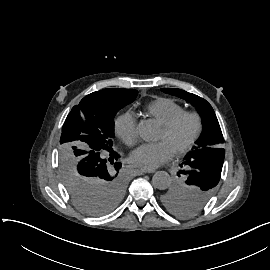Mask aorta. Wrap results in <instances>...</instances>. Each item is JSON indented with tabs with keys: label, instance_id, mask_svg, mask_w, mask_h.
Here are the masks:
<instances>
[{
	"label": "aorta",
	"instance_id": "obj_1",
	"mask_svg": "<svg viewBox=\"0 0 270 270\" xmlns=\"http://www.w3.org/2000/svg\"><path fill=\"white\" fill-rule=\"evenodd\" d=\"M152 184L155 188L164 190L171 184V177L166 171H157L152 178Z\"/></svg>",
	"mask_w": 270,
	"mask_h": 270
}]
</instances>
